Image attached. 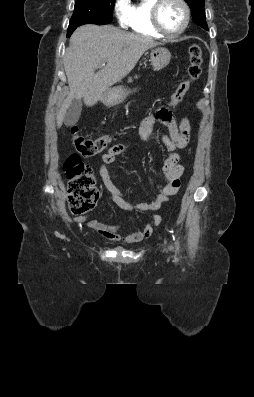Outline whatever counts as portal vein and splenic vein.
<instances>
[{
  "label": "portal vein and splenic vein",
  "mask_w": 254,
  "mask_h": 397,
  "mask_svg": "<svg viewBox=\"0 0 254 397\" xmlns=\"http://www.w3.org/2000/svg\"><path fill=\"white\" fill-rule=\"evenodd\" d=\"M106 64L105 63H102L99 67H104Z\"/></svg>",
  "instance_id": "18ae733b"
}]
</instances>
